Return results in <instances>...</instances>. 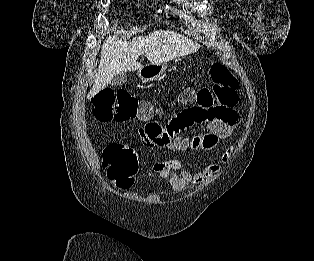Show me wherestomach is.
I'll return each instance as SVG.
<instances>
[{"instance_id": "1", "label": "stomach", "mask_w": 314, "mask_h": 261, "mask_svg": "<svg viewBox=\"0 0 314 261\" xmlns=\"http://www.w3.org/2000/svg\"><path fill=\"white\" fill-rule=\"evenodd\" d=\"M167 69L166 63H150L138 71V76L144 82H151L159 79Z\"/></svg>"}]
</instances>
